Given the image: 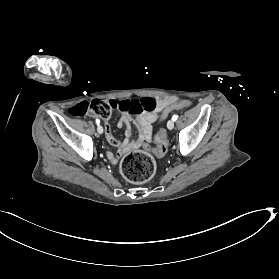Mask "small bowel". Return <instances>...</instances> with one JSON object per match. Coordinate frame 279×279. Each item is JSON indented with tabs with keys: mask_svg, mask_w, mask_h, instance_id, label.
I'll list each match as a JSON object with an SVG mask.
<instances>
[{
	"mask_svg": "<svg viewBox=\"0 0 279 279\" xmlns=\"http://www.w3.org/2000/svg\"><path fill=\"white\" fill-rule=\"evenodd\" d=\"M172 102H174L172 98L159 97L157 99V106L154 111L143 112L136 116L134 122L137 125L139 132V138L137 140L130 139L132 136L131 123L133 122V119L128 113H123L117 124L119 128H125V136L127 138L123 141H120L113 136L111 126L108 122H106L105 137L111 145L118 148L117 153L107 152L108 159L111 162L116 163L119 157L127 149L138 147L142 145L144 142H150L152 139V123L157 120L158 115L163 110V108H165L168 104Z\"/></svg>",
	"mask_w": 279,
	"mask_h": 279,
	"instance_id": "small-bowel-1",
	"label": "small bowel"
}]
</instances>
